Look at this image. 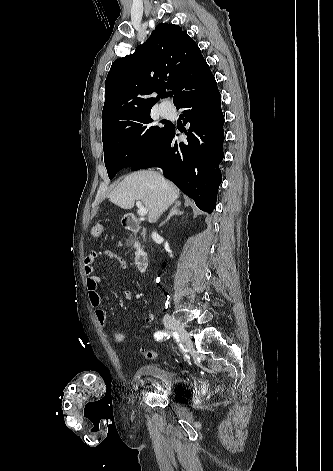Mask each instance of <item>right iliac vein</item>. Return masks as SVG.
Wrapping results in <instances>:
<instances>
[{"instance_id":"right-iliac-vein-1","label":"right iliac vein","mask_w":333,"mask_h":471,"mask_svg":"<svg viewBox=\"0 0 333 471\" xmlns=\"http://www.w3.org/2000/svg\"><path fill=\"white\" fill-rule=\"evenodd\" d=\"M163 323L166 328L175 331L180 339V344H185L188 341V333L185 328L175 318L170 315L163 317Z\"/></svg>"}]
</instances>
